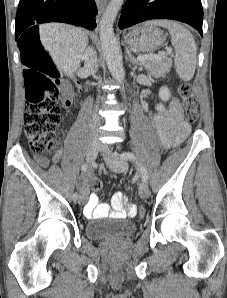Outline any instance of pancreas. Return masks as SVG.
<instances>
[{
	"label": "pancreas",
	"mask_w": 227,
	"mask_h": 298,
	"mask_svg": "<svg viewBox=\"0 0 227 298\" xmlns=\"http://www.w3.org/2000/svg\"><path fill=\"white\" fill-rule=\"evenodd\" d=\"M141 65L152 75H164L170 71L172 67V59L166 56L158 60H146Z\"/></svg>",
	"instance_id": "pancreas-1"
}]
</instances>
